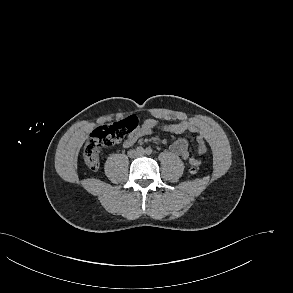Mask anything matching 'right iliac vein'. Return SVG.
I'll return each mask as SVG.
<instances>
[{
    "mask_svg": "<svg viewBox=\"0 0 293 293\" xmlns=\"http://www.w3.org/2000/svg\"><path fill=\"white\" fill-rule=\"evenodd\" d=\"M136 155H137V154H136V153H134V152L131 154V156H136Z\"/></svg>",
    "mask_w": 293,
    "mask_h": 293,
    "instance_id": "63e3f726",
    "label": "right iliac vein"
}]
</instances>
